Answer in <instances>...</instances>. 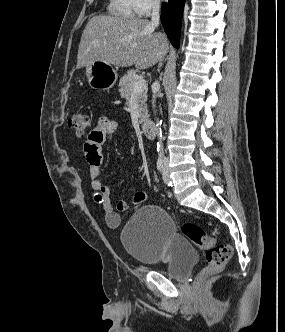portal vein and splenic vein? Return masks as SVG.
Listing matches in <instances>:
<instances>
[{
    "instance_id": "1",
    "label": "portal vein and splenic vein",
    "mask_w": 285,
    "mask_h": 332,
    "mask_svg": "<svg viewBox=\"0 0 285 332\" xmlns=\"http://www.w3.org/2000/svg\"><path fill=\"white\" fill-rule=\"evenodd\" d=\"M147 88V83L144 79L140 78L133 87V93L132 94H138L142 91H144Z\"/></svg>"
}]
</instances>
